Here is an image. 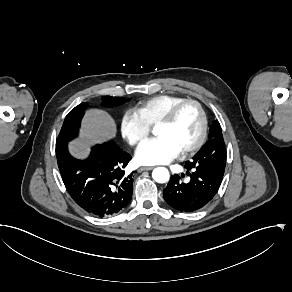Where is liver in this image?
<instances>
[{
    "label": "liver",
    "instance_id": "obj_1",
    "mask_svg": "<svg viewBox=\"0 0 292 292\" xmlns=\"http://www.w3.org/2000/svg\"><path fill=\"white\" fill-rule=\"evenodd\" d=\"M116 132L115 121L106 111L89 109L82 120L79 138L69 143V152L77 159H85L91 145L114 138Z\"/></svg>",
    "mask_w": 292,
    "mask_h": 292
}]
</instances>
